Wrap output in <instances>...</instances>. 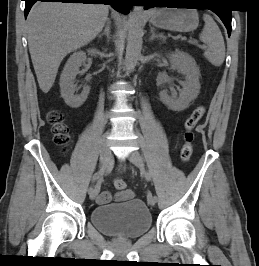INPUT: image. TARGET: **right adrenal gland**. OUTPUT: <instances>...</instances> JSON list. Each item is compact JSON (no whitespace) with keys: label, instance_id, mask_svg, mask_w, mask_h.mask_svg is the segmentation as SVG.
Returning <instances> with one entry per match:
<instances>
[{"label":"right adrenal gland","instance_id":"right-adrenal-gland-1","mask_svg":"<svg viewBox=\"0 0 259 266\" xmlns=\"http://www.w3.org/2000/svg\"><path fill=\"white\" fill-rule=\"evenodd\" d=\"M110 20H107V23L105 25V29L104 31L98 36L99 38H101L102 36L106 35L108 39H110Z\"/></svg>","mask_w":259,"mask_h":266}]
</instances>
